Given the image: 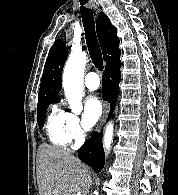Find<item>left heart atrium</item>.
Masks as SVG:
<instances>
[{
	"instance_id": "obj_1",
	"label": "left heart atrium",
	"mask_w": 178,
	"mask_h": 195,
	"mask_svg": "<svg viewBox=\"0 0 178 195\" xmlns=\"http://www.w3.org/2000/svg\"><path fill=\"white\" fill-rule=\"evenodd\" d=\"M102 114V104L98 97L89 96L84 105L83 127L90 130L97 123Z\"/></svg>"
}]
</instances>
